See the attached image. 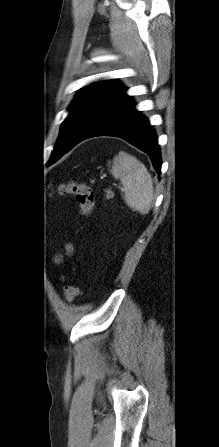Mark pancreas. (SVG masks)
<instances>
[{"instance_id": "cf45deb5", "label": "pancreas", "mask_w": 219, "mask_h": 447, "mask_svg": "<svg viewBox=\"0 0 219 447\" xmlns=\"http://www.w3.org/2000/svg\"><path fill=\"white\" fill-rule=\"evenodd\" d=\"M106 199H112L114 197V193L111 190H106Z\"/></svg>"}]
</instances>
